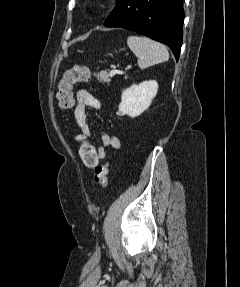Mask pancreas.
Listing matches in <instances>:
<instances>
[{
	"instance_id": "1",
	"label": "pancreas",
	"mask_w": 240,
	"mask_h": 287,
	"mask_svg": "<svg viewBox=\"0 0 240 287\" xmlns=\"http://www.w3.org/2000/svg\"><path fill=\"white\" fill-rule=\"evenodd\" d=\"M95 77L97 78V80L101 82H106V83L110 82L109 74L106 71H101L100 73L95 74Z\"/></svg>"
}]
</instances>
